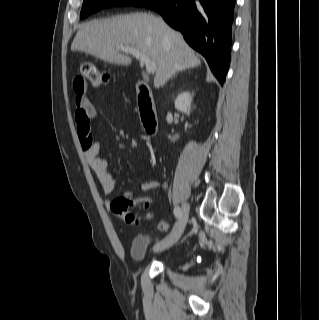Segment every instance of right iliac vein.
<instances>
[{
  "label": "right iliac vein",
  "instance_id": "63e3f726",
  "mask_svg": "<svg viewBox=\"0 0 319 320\" xmlns=\"http://www.w3.org/2000/svg\"><path fill=\"white\" fill-rule=\"evenodd\" d=\"M189 209V204L184 203L182 206V215L179 221L176 223L171 233L155 245L154 248L156 251H162L170 248L179 240L188 220Z\"/></svg>",
  "mask_w": 319,
  "mask_h": 320
}]
</instances>
